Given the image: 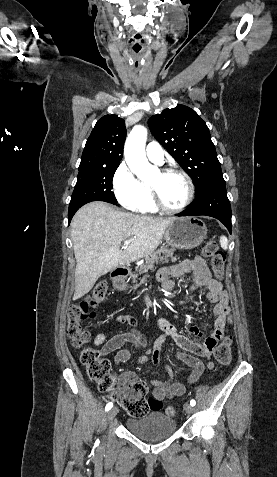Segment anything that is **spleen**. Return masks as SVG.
Instances as JSON below:
<instances>
[{
	"label": "spleen",
	"instance_id": "3e777b00",
	"mask_svg": "<svg viewBox=\"0 0 277 477\" xmlns=\"http://www.w3.org/2000/svg\"><path fill=\"white\" fill-rule=\"evenodd\" d=\"M220 245L224 250L228 248V239L225 236L220 237Z\"/></svg>",
	"mask_w": 277,
	"mask_h": 477
}]
</instances>
